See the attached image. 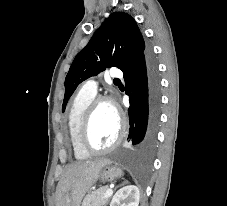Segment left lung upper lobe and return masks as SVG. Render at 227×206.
Returning <instances> with one entry per match:
<instances>
[{
    "instance_id": "left-lung-upper-lobe-1",
    "label": "left lung upper lobe",
    "mask_w": 227,
    "mask_h": 206,
    "mask_svg": "<svg viewBox=\"0 0 227 206\" xmlns=\"http://www.w3.org/2000/svg\"><path fill=\"white\" fill-rule=\"evenodd\" d=\"M147 50L135 20L124 12L112 13L75 57L65 79L62 111L82 81L113 66L126 72Z\"/></svg>"
}]
</instances>
